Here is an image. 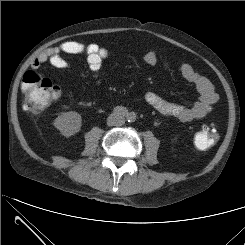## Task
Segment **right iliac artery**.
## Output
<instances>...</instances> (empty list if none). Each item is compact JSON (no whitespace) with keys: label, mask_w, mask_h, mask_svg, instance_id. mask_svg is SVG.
<instances>
[{"label":"right iliac artery","mask_w":245,"mask_h":245,"mask_svg":"<svg viewBox=\"0 0 245 245\" xmlns=\"http://www.w3.org/2000/svg\"><path fill=\"white\" fill-rule=\"evenodd\" d=\"M113 112L118 115L127 116L128 110L125 107L117 106L113 109Z\"/></svg>","instance_id":"82829eb1"}]
</instances>
